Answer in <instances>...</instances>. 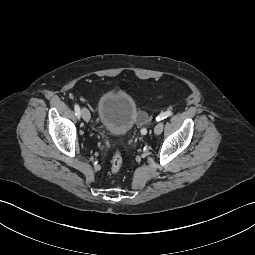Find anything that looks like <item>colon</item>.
<instances>
[{
  "label": "colon",
  "mask_w": 255,
  "mask_h": 255,
  "mask_svg": "<svg viewBox=\"0 0 255 255\" xmlns=\"http://www.w3.org/2000/svg\"><path fill=\"white\" fill-rule=\"evenodd\" d=\"M147 120V117L145 115H142L140 117V122H145ZM123 164L122 155L119 149H116L114 156L111 160L110 164V171L112 174H117L120 172Z\"/></svg>",
  "instance_id": "obj_1"
}]
</instances>
